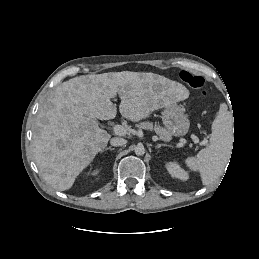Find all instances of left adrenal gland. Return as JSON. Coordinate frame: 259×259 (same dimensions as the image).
<instances>
[{
  "label": "left adrenal gland",
  "instance_id": "1",
  "mask_svg": "<svg viewBox=\"0 0 259 259\" xmlns=\"http://www.w3.org/2000/svg\"><path fill=\"white\" fill-rule=\"evenodd\" d=\"M162 146H169V145H167V144H157V145L155 146V148L159 149V148H161Z\"/></svg>",
  "mask_w": 259,
  "mask_h": 259
}]
</instances>
